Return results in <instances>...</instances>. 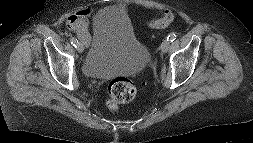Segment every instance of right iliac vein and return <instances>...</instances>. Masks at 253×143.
Masks as SVG:
<instances>
[{"label":"right iliac vein","instance_id":"63e3f726","mask_svg":"<svg viewBox=\"0 0 253 143\" xmlns=\"http://www.w3.org/2000/svg\"><path fill=\"white\" fill-rule=\"evenodd\" d=\"M76 49L79 53H82L85 49L84 44L83 43H78Z\"/></svg>","mask_w":253,"mask_h":143}]
</instances>
